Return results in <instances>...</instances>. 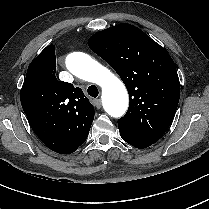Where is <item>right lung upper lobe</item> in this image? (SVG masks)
<instances>
[{
  "instance_id": "right-lung-upper-lobe-1",
  "label": "right lung upper lobe",
  "mask_w": 209,
  "mask_h": 209,
  "mask_svg": "<svg viewBox=\"0 0 209 209\" xmlns=\"http://www.w3.org/2000/svg\"><path fill=\"white\" fill-rule=\"evenodd\" d=\"M55 72V46L49 45L28 67L21 104L31 122L54 129L56 142L76 150L88 137L94 107L80 88L58 81Z\"/></svg>"
}]
</instances>
